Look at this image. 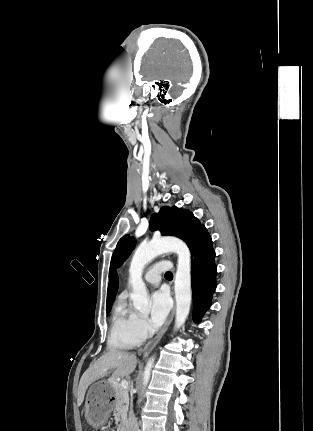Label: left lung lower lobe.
I'll use <instances>...</instances> for the list:
<instances>
[{"mask_svg": "<svg viewBox=\"0 0 313 431\" xmlns=\"http://www.w3.org/2000/svg\"><path fill=\"white\" fill-rule=\"evenodd\" d=\"M191 251V285L193 293V320L200 322L210 308L216 289L217 268L212 239L204 228L197 236Z\"/></svg>", "mask_w": 313, "mask_h": 431, "instance_id": "1", "label": "left lung lower lobe"}]
</instances>
